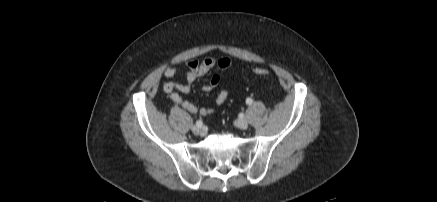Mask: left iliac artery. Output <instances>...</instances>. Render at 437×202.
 I'll use <instances>...</instances> for the list:
<instances>
[{
	"mask_svg": "<svg viewBox=\"0 0 437 202\" xmlns=\"http://www.w3.org/2000/svg\"><path fill=\"white\" fill-rule=\"evenodd\" d=\"M252 102H253V100H252L251 98H247V99H246V104H247V105H251Z\"/></svg>",
	"mask_w": 437,
	"mask_h": 202,
	"instance_id": "obj_1",
	"label": "left iliac artery"
}]
</instances>
